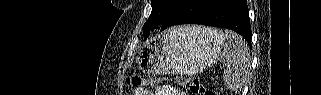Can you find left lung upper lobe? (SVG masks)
<instances>
[{"label": "left lung upper lobe", "mask_w": 321, "mask_h": 95, "mask_svg": "<svg viewBox=\"0 0 321 95\" xmlns=\"http://www.w3.org/2000/svg\"><path fill=\"white\" fill-rule=\"evenodd\" d=\"M177 2L178 0H151V15L143 26L144 39H147L150 31L159 28L163 24Z\"/></svg>", "instance_id": "left-lung-upper-lobe-1"}]
</instances>
